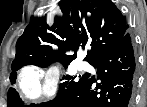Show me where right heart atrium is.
Returning a JSON list of instances; mask_svg holds the SVG:
<instances>
[{
  "mask_svg": "<svg viewBox=\"0 0 147 107\" xmlns=\"http://www.w3.org/2000/svg\"><path fill=\"white\" fill-rule=\"evenodd\" d=\"M58 76L54 69L44 72L26 70L20 79L22 93L29 100L53 97L57 91Z\"/></svg>",
  "mask_w": 147,
  "mask_h": 107,
  "instance_id": "1",
  "label": "right heart atrium"
}]
</instances>
